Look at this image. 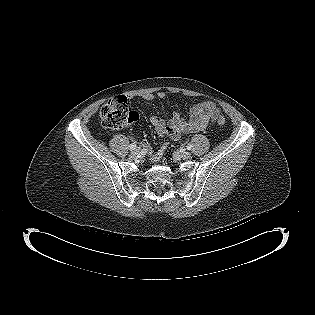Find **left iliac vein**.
I'll return each mask as SVG.
<instances>
[{
	"instance_id": "left-iliac-vein-1",
	"label": "left iliac vein",
	"mask_w": 315,
	"mask_h": 315,
	"mask_svg": "<svg viewBox=\"0 0 315 315\" xmlns=\"http://www.w3.org/2000/svg\"><path fill=\"white\" fill-rule=\"evenodd\" d=\"M178 156L181 158V159H189L191 157V153L188 152V151H179L178 152Z\"/></svg>"
}]
</instances>
